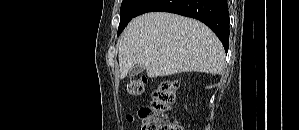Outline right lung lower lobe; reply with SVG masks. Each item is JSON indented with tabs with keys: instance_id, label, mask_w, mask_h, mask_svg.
<instances>
[{
	"instance_id": "1",
	"label": "right lung lower lobe",
	"mask_w": 299,
	"mask_h": 130,
	"mask_svg": "<svg viewBox=\"0 0 299 130\" xmlns=\"http://www.w3.org/2000/svg\"><path fill=\"white\" fill-rule=\"evenodd\" d=\"M163 11L192 17L205 23L229 48V14L227 0H147L135 17L147 12Z\"/></svg>"
}]
</instances>
